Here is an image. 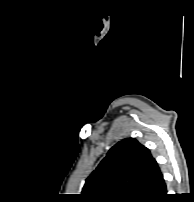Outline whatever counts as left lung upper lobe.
Masks as SVG:
<instances>
[{
  "label": "left lung upper lobe",
  "mask_w": 194,
  "mask_h": 202,
  "mask_svg": "<svg viewBox=\"0 0 194 202\" xmlns=\"http://www.w3.org/2000/svg\"><path fill=\"white\" fill-rule=\"evenodd\" d=\"M163 175L148 148L134 138L113 146L86 179L85 202H152Z\"/></svg>",
  "instance_id": "1"
}]
</instances>
